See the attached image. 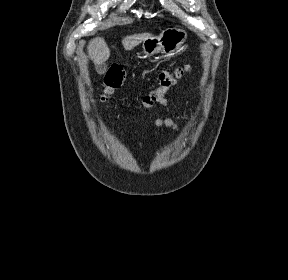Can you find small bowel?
I'll use <instances>...</instances> for the list:
<instances>
[{
    "instance_id": "obj_1",
    "label": "small bowel",
    "mask_w": 288,
    "mask_h": 280,
    "mask_svg": "<svg viewBox=\"0 0 288 280\" xmlns=\"http://www.w3.org/2000/svg\"><path fill=\"white\" fill-rule=\"evenodd\" d=\"M154 125L157 127H168L175 131H179L180 128L177 123H175L172 119L167 117H158L154 120Z\"/></svg>"
}]
</instances>
